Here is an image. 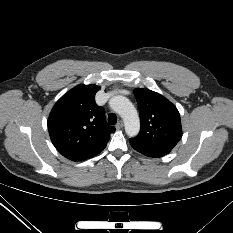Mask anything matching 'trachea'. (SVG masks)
Masks as SVG:
<instances>
[{
	"label": "trachea",
	"mask_w": 233,
	"mask_h": 233,
	"mask_svg": "<svg viewBox=\"0 0 233 233\" xmlns=\"http://www.w3.org/2000/svg\"><path fill=\"white\" fill-rule=\"evenodd\" d=\"M108 122L110 125H115L117 123V116L114 113L108 115Z\"/></svg>",
	"instance_id": "trachea-1"
}]
</instances>
